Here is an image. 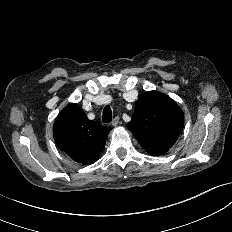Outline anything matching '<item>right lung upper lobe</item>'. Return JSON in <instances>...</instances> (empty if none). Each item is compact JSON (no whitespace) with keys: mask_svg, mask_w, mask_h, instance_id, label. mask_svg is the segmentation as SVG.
<instances>
[{"mask_svg":"<svg viewBox=\"0 0 232 232\" xmlns=\"http://www.w3.org/2000/svg\"><path fill=\"white\" fill-rule=\"evenodd\" d=\"M111 128L89 120L77 104L65 107L53 125L54 140L74 161L94 163L104 149Z\"/></svg>","mask_w":232,"mask_h":232,"instance_id":"obj_1","label":"right lung upper lobe"}]
</instances>
